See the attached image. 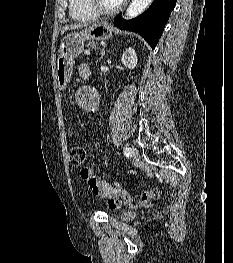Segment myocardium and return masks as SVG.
I'll use <instances>...</instances> for the list:
<instances>
[{
    "instance_id": "obj_1",
    "label": "myocardium",
    "mask_w": 233,
    "mask_h": 263,
    "mask_svg": "<svg viewBox=\"0 0 233 263\" xmlns=\"http://www.w3.org/2000/svg\"><path fill=\"white\" fill-rule=\"evenodd\" d=\"M125 0L121 1L116 7L112 9L102 8L97 0H87L88 7L96 14V16H111L118 13L123 5Z\"/></svg>"
}]
</instances>
